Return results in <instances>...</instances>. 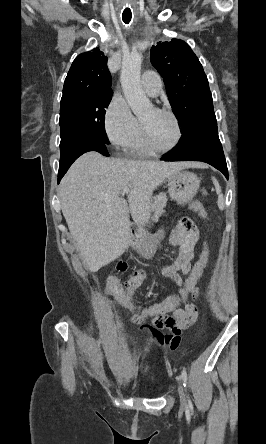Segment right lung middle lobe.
Returning a JSON list of instances; mask_svg holds the SVG:
<instances>
[{"instance_id":"dd1d6c3e","label":"right lung middle lobe","mask_w":266,"mask_h":444,"mask_svg":"<svg viewBox=\"0 0 266 444\" xmlns=\"http://www.w3.org/2000/svg\"><path fill=\"white\" fill-rule=\"evenodd\" d=\"M112 98V91L95 93L61 102L60 107V155L65 156L79 143L98 139L109 144L105 127V108Z\"/></svg>"}]
</instances>
